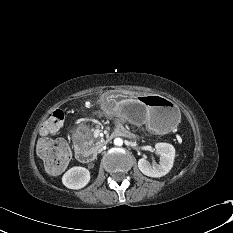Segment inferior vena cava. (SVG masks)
<instances>
[{
    "instance_id": "602c4592",
    "label": "inferior vena cava",
    "mask_w": 233,
    "mask_h": 233,
    "mask_svg": "<svg viewBox=\"0 0 233 233\" xmlns=\"http://www.w3.org/2000/svg\"><path fill=\"white\" fill-rule=\"evenodd\" d=\"M101 151H102V147H99V148H98V152H101Z\"/></svg>"
}]
</instances>
